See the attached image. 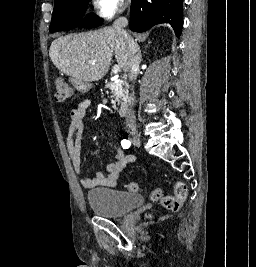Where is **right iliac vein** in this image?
<instances>
[{
  "mask_svg": "<svg viewBox=\"0 0 256 267\" xmlns=\"http://www.w3.org/2000/svg\"><path fill=\"white\" fill-rule=\"evenodd\" d=\"M131 141L135 144V145H140L141 144V139L139 134L136 131H132L131 134Z\"/></svg>",
  "mask_w": 256,
  "mask_h": 267,
  "instance_id": "63e3f726",
  "label": "right iliac vein"
}]
</instances>
